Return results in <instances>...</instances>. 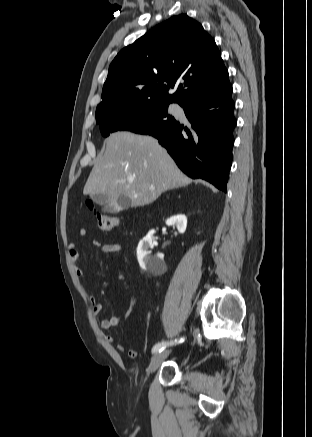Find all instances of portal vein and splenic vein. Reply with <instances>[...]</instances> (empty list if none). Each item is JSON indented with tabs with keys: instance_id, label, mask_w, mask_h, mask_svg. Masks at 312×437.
<instances>
[{
	"instance_id": "obj_1",
	"label": "portal vein and splenic vein",
	"mask_w": 312,
	"mask_h": 437,
	"mask_svg": "<svg viewBox=\"0 0 312 437\" xmlns=\"http://www.w3.org/2000/svg\"><path fill=\"white\" fill-rule=\"evenodd\" d=\"M133 180H131V182H132ZM150 189H152V190H154V187H150Z\"/></svg>"
}]
</instances>
